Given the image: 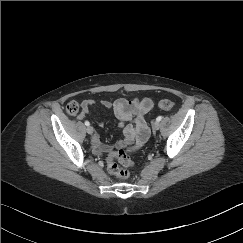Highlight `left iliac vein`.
<instances>
[{"label": "left iliac vein", "instance_id": "left-iliac-vein-1", "mask_svg": "<svg viewBox=\"0 0 243 243\" xmlns=\"http://www.w3.org/2000/svg\"><path fill=\"white\" fill-rule=\"evenodd\" d=\"M159 128H160V123L157 122V121H155V122L153 123V129H154V130H158Z\"/></svg>", "mask_w": 243, "mask_h": 243}]
</instances>
